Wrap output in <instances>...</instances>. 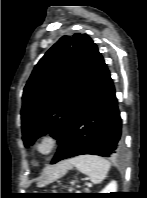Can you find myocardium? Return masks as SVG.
Instances as JSON below:
<instances>
[{
    "label": "myocardium",
    "instance_id": "obj_1",
    "mask_svg": "<svg viewBox=\"0 0 147 198\" xmlns=\"http://www.w3.org/2000/svg\"><path fill=\"white\" fill-rule=\"evenodd\" d=\"M59 145V139L56 134L46 132L41 134L33 144V149L40 157H48L53 154Z\"/></svg>",
    "mask_w": 147,
    "mask_h": 198
}]
</instances>
